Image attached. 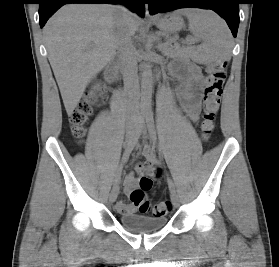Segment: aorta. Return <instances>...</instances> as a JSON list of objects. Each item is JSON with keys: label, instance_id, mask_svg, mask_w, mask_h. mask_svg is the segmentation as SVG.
<instances>
[{"label": "aorta", "instance_id": "1", "mask_svg": "<svg viewBox=\"0 0 279 267\" xmlns=\"http://www.w3.org/2000/svg\"><path fill=\"white\" fill-rule=\"evenodd\" d=\"M153 77L150 63L144 65L141 80V101L143 109L147 110L151 105Z\"/></svg>", "mask_w": 279, "mask_h": 267}]
</instances>
